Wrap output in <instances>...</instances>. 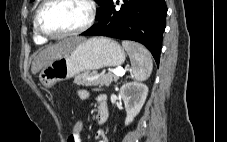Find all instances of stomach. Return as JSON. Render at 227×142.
<instances>
[{
	"label": "stomach",
	"mask_w": 227,
	"mask_h": 142,
	"mask_svg": "<svg viewBox=\"0 0 227 142\" xmlns=\"http://www.w3.org/2000/svg\"><path fill=\"white\" fill-rule=\"evenodd\" d=\"M125 58L124 49L116 41L93 37L43 68L39 80L45 88H51L56 82L68 80L84 71L120 66Z\"/></svg>",
	"instance_id": "stomach-1"
}]
</instances>
